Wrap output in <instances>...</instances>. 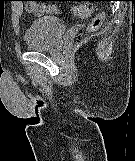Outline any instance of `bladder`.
I'll return each mask as SVG.
<instances>
[{"mask_svg": "<svg viewBox=\"0 0 135 161\" xmlns=\"http://www.w3.org/2000/svg\"><path fill=\"white\" fill-rule=\"evenodd\" d=\"M65 30L64 20L59 17L33 18L25 31L24 41L30 50L51 49L58 43Z\"/></svg>", "mask_w": 135, "mask_h": 161, "instance_id": "31cf9c89", "label": "bladder"}]
</instances>
